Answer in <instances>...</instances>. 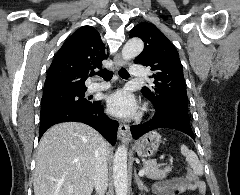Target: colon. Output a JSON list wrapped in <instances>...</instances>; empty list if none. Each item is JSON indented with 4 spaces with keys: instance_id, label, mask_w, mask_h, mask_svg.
<instances>
[{
    "instance_id": "1",
    "label": "colon",
    "mask_w": 240,
    "mask_h": 195,
    "mask_svg": "<svg viewBox=\"0 0 240 195\" xmlns=\"http://www.w3.org/2000/svg\"><path fill=\"white\" fill-rule=\"evenodd\" d=\"M186 178L193 181V186L202 187V180H198V175L191 171V167H186Z\"/></svg>"
}]
</instances>
